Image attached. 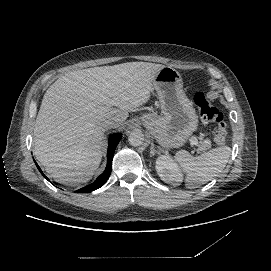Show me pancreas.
Wrapping results in <instances>:
<instances>
[{
    "label": "pancreas",
    "mask_w": 271,
    "mask_h": 271,
    "mask_svg": "<svg viewBox=\"0 0 271 271\" xmlns=\"http://www.w3.org/2000/svg\"><path fill=\"white\" fill-rule=\"evenodd\" d=\"M211 142L209 141V139H205L203 143H201L198 147V151H202L205 149H209Z\"/></svg>",
    "instance_id": "cf45deb5"
}]
</instances>
